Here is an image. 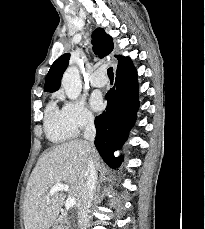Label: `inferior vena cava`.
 Returning a JSON list of instances; mask_svg holds the SVG:
<instances>
[{
    "instance_id": "1",
    "label": "inferior vena cava",
    "mask_w": 205,
    "mask_h": 229,
    "mask_svg": "<svg viewBox=\"0 0 205 229\" xmlns=\"http://www.w3.org/2000/svg\"><path fill=\"white\" fill-rule=\"evenodd\" d=\"M96 137V129L93 116H87L84 131V138L93 144ZM97 183V171L92 156L89 157L86 170V182L82 197L79 202L78 210V226L79 229H88L90 217L88 215L89 208L92 206L95 197V189Z\"/></svg>"
}]
</instances>
